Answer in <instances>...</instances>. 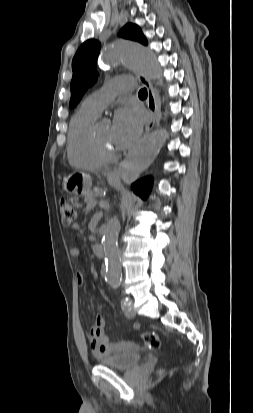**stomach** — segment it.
<instances>
[{
    "mask_svg": "<svg viewBox=\"0 0 253 413\" xmlns=\"http://www.w3.org/2000/svg\"><path fill=\"white\" fill-rule=\"evenodd\" d=\"M114 185L115 182H110ZM92 186V180L89 174L84 172H73L63 179V189L67 194L77 197L86 196Z\"/></svg>",
    "mask_w": 253,
    "mask_h": 413,
    "instance_id": "stomach-1",
    "label": "stomach"
}]
</instances>
